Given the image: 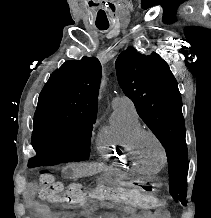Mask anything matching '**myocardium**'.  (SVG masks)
I'll return each mask as SVG.
<instances>
[{
	"label": "myocardium",
	"instance_id": "myocardium-1",
	"mask_svg": "<svg viewBox=\"0 0 211 218\" xmlns=\"http://www.w3.org/2000/svg\"><path fill=\"white\" fill-rule=\"evenodd\" d=\"M145 136H149V137L153 138L154 141L157 143V145H158V147L160 149V154H161V162H160V164L158 166L159 167L163 166L165 161H166L165 148H164V145H163L162 141L160 140V138L152 130L141 128L135 133L134 140H133L134 141V146H135V149H136L135 150V155L139 156V158H140L139 148H140L141 142H142V140H143V138ZM140 163L143 164V165L147 164L141 158H140Z\"/></svg>",
	"mask_w": 211,
	"mask_h": 218
}]
</instances>
